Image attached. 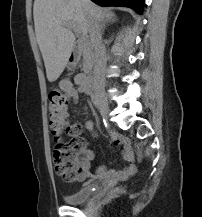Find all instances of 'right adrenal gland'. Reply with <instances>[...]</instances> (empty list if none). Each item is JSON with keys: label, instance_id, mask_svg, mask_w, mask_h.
Here are the masks:
<instances>
[{"label": "right adrenal gland", "instance_id": "2a0ac1e0", "mask_svg": "<svg viewBox=\"0 0 202 217\" xmlns=\"http://www.w3.org/2000/svg\"><path fill=\"white\" fill-rule=\"evenodd\" d=\"M117 19L114 17V16H111V17H108L106 19H103L101 21H99V24H100V28L102 30V32H104V29L106 27V24L108 23H114Z\"/></svg>", "mask_w": 202, "mask_h": 217}]
</instances>
